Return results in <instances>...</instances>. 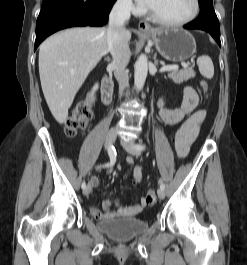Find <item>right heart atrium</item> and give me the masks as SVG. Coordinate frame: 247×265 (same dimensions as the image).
<instances>
[{
	"instance_id": "obj_1",
	"label": "right heart atrium",
	"mask_w": 247,
	"mask_h": 265,
	"mask_svg": "<svg viewBox=\"0 0 247 265\" xmlns=\"http://www.w3.org/2000/svg\"><path fill=\"white\" fill-rule=\"evenodd\" d=\"M119 6L125 11L131 12H139L140 8H138L132 0H118Z\"/></svg>"
}]
</instances>
